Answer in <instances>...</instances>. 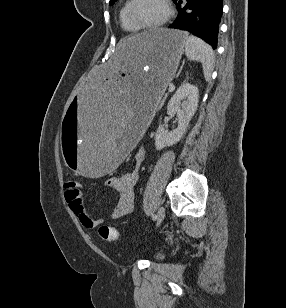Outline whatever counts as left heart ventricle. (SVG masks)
<instances>
[{"mask_svg":"<svg viewBox=\"0 0 286 308\" xmlns=\"http://www.w3.org/2000/svg\"><path fill=\"white\" fill-rule=\"evenodd\" d=\"M163 0H138L135 6L136 18L144 24L160 21L166 13Z\"/></svg>","mask_w":286,"mask_h":308,"instance_id":"1","label":"left heart ventricle"}]
</instances>
